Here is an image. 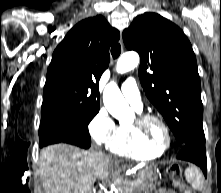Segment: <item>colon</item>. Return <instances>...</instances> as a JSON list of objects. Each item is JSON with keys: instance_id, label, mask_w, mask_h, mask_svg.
<instances>
[{"instance_id": "obj_1", "label": "colon", "mask_w": 221, "mask_h": 193, "mask_svg": "<svg viewBox=\"0 0 221 193\" xmlns=\"http://www.w3.org/2000/svg\"><path fill=\"white\" fill-rule=\"evenodd\" d=\"M170 176L173 185L183 193H195L193 190L188 188L182 178V169L178 165H173L170 169Z\"/></svg>"}]
</instances>
